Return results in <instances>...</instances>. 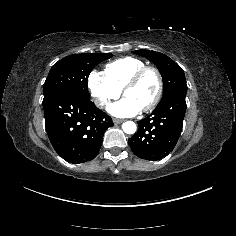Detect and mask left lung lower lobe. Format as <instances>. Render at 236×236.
Masks as SVG:
<instances>
[{"label": "left lung lower lobe", "mask_w": 236, "mask_h": 236, "mask_svg": "<svg viewBox=\"0 0 236 236\" xmlns=\"http://www.w3.org/2000/svg\"><path fill=\"white\" fill-rule=\"evenodd\" d=\"M186 93L160 102L146 118L138 121V131L128 140L133 153L145 160H160L175 147L183 127Z\"/></svg>", "instance_id": "0a47b994"}]
</instances>
